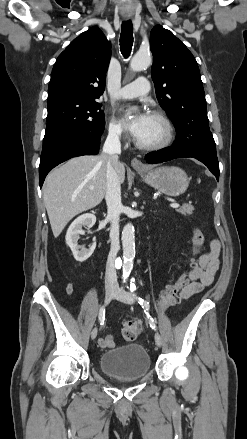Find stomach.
Returning a JSON list of instances; mask_svg holds the SVG:
<instances>
[{"label":"stomach","instance_id":"0dacf381","mask_svg":"<svg viewBox=\"0 0 247 439\" xmlns=\"http://www.w3.org/2000/svg\"><path fill=\"white\" fill-rule=\"evenodd\" d=\"M137 171L147 184L169 196H179L189 186L187 174L179 167L161 166Z\"/></svg>","mask_w":247,"mask_h":439}]
</instances>
